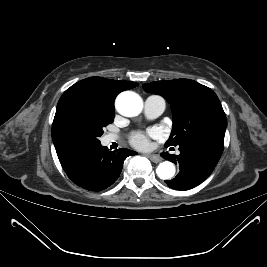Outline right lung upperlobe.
Here are the masks:
<instances>
[{
    "instance_id": "1",
    "label": "right lung upper lobe",
    "mask_w": 267,
    "mask_h": 267,
    "mask_svg": "<svg viewBox=\"0 0 267 267\" xmlns=\"http://www.w3.org/2000/svg\"><path fill=\"white\" fill-rule=\"evenodd\" d=\"M138 86L135 82L111 80L102 77H90L77 82L61 96L58 105L76 94H90L105 105L114 107L116 96L127 89ZM61 154V152H57Z\"/></svg>"
}]
</instances>
